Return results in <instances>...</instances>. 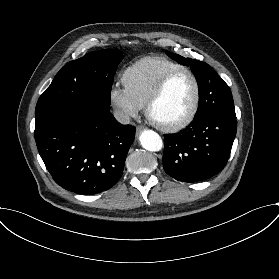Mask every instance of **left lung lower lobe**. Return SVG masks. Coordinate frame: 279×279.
<instances>
[{"label": "left lung lower lobe", "instance_id": "left-lung-lower-lobe-1", "mask_svg": "<svg viewBox=\"0 0 279 279\" xmlns=\"http://www.w3.org/2000/svg\"><path fill=\"white\" fill-rule=\"evenodd\" d=\"M236 131V116L210 112L194 118L180 133L165 135V172L188 183L216 175L229 159Z\"/></svg>", "mask_w": 279, "mask_h": 279}]
</instances>
